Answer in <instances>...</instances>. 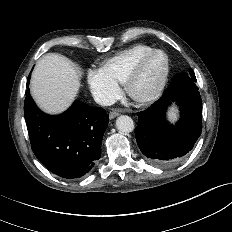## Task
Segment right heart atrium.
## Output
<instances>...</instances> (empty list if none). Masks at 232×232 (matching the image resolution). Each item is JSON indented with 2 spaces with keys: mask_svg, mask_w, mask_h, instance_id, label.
Masks as SVG:
<instances>
[{
  "mask_svg": "<svg viewBox=\"0 0 232 232\" xmlns=\"http://www.w3.org/2000/svg\"><path fill=\"white\" fill-rule=\"evenodd\" d=\"M87 83L100 104H108L119 95V85L101 69H91L87 73Z\"/></svg>",
  "mask_w": 232,
  "mask_h": 232,
  "instance_id": "obj_1",
  "label": "right heart atrium"
}]
</instances>
